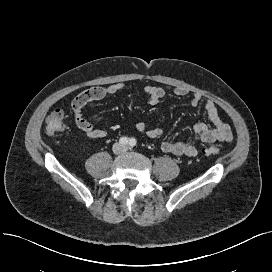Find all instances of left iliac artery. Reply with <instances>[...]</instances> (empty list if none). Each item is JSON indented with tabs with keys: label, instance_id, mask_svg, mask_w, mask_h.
Returning a JSON list of instances; mask_svg holds the SVG:
<instances>
[{
	"label": "left iliac artery",
	"instance_id": "1",
	"mask_svg": "<svg viewBox=\"0 0 272 272\" xmlns=\"http://www.w3.org/2000/svg\"><path fill=\"white\" fill-rule=\"evenodd\" d=\"M136 143H137V141H136L135 138H131V139L129 140V145H130L131 147H134V146L136 145Z\"/></svg>",
	"mask_w": 272,
	"mask_h": 272
}]
</instances>
